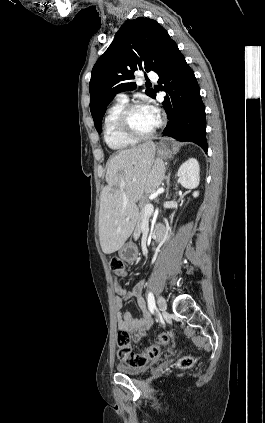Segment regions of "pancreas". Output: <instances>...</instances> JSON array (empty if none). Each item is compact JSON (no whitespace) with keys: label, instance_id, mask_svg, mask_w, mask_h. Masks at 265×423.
I'll return each instance as SVG.
<instances>
[{"label":"pancreas","instance_id":"cf45deb5","mask_svg":"<svg viewBox=\"0 0 265 423\" xmlns=\"http://www.w3.org/2000/svg\"><path fill=\"white\" fill-rule=\"evenodd\" d=\"M150 203V201L147 199V197L143 198L139 204V207L141 208V211L138 216L135 233L140 234L141 233V224L145 218H149V216H146L144 208L145 206Z\"/></svg>","mask_w":265,"mask_h":423}]
</instances>
